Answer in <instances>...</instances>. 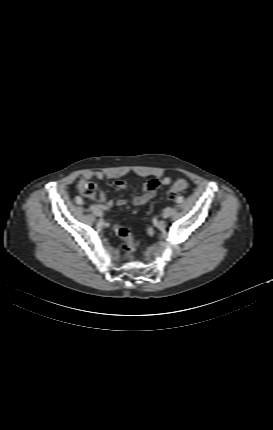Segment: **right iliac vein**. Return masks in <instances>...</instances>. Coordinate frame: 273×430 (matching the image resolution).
I'll list each match as a JSON object with an SVG mask.
<instances>
[{
    "instance_id": "right-iliac-vein-1",
    "label": "right iliac vein",
    "mask_w": 273,
    "mask_h": 430,
    "mask_svg": "<svg viewBox=\"0 0 273 430\" xmlns=\"http://www.w3.org/2000/svg\"><path fill=\"white\" fill-rule=\"evenodd\" d=\"M91 209H92V211H93V213H94V215H96V216H98V217H101V216H103V212H102V210L100 209V207H98V206H91Z\"/></svg>"
}]
</instances>
